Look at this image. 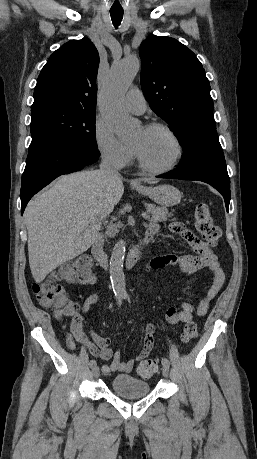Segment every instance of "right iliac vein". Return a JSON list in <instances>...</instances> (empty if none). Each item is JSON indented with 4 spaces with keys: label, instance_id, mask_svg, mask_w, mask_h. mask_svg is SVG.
Wrapping results in <instances>:
<instances>
[{
    "label": "right iliac vein",
    "instance_id": "1",
    "mask_svg": "<svg viewBox=\"0 0 257 459\" xmlns=\"http://www.w3.org/2000/svg\"><path fill=\"white\" fill-rule=\"evenodd\" d=\"M92 371H93V375H94L95 378L99 377L100 370H99L98 367L95 366V367L92 369Z\"/></svg>",
    "mask_w": 257,
    "mask_h": 459
}]
</instances>
